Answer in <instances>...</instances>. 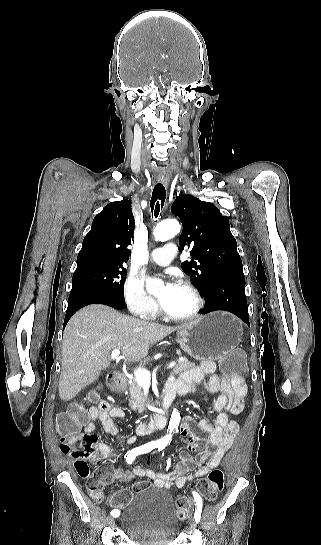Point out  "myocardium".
<instances>
[{"mask_svg": "<svg viewBox=\"0 0 321 545\" xmlns=\"http://www.w3.org/2000/svg\"><path fill=\"white\" fill-rule=\"evenodd\" d=\"M180 287L183 288V289L188 290L194 296L195 301H196V305H195L194 310L188 315H176V314H170V313L166 312L164 309H162L163 315L167 319L172 320V321H177V322L193 321V320L197 319L201 315V313H202V311H203V309L205 307L204 297H203L201 291L194 284H192L190 282H187V281L181 282Z\"/></svg>", "mask_w": 321, "mask_h": 545, "instance_id": "f54148a6", "label": "myocardium"}]
</instances>
